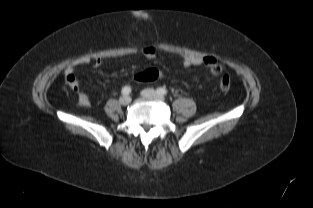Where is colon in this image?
<instances>
[{
	"label": "colon",
	"instance_id": "1",
	"mask_svg": "<svg viewBox=\"0 0 313 208\" xmlns=\"http://www.w3.org/2000/svg\"><path fill=\"white\" fill-rule=\"evenodd\" d=\"M210 71L213 75H220L222 73V67L217 62L210 67ZM162 74L158 69L151 68L143 72L138 73L135 79L141 83L153 82L161 78ZM67 82L71 88L77 85V81L74 75L67 76ZM230 88V78L228 75L221 77L219 82V89L223 92L228 91Z\"/></svg>",
	"mask_w": 313,
	"mask_h": 208
}]
</instances>
